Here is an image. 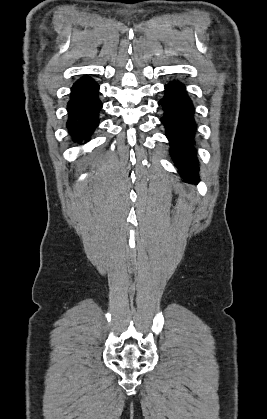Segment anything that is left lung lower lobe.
Segmentation results:
<instances>
[{
	"mask_svg": "<svg viewBox=\"0 0 267 419\" xmlns=\"http://www.w3.org/2000/svg\"><path fill=\"white\" fill-rule=\"evenodd\" d=\"M158 104L164 111L161 122L170 141V154L175 166L184 179L199 180V165L194 148L197 129L195 109L185 85L178 80L165 85V95Z\"/></svg>",
	"mask_w": 267,
	"mask_h": 419,
	"instance_id": "0a47b994",
	"label": "left lung lower lobe"
}]
</instances>
